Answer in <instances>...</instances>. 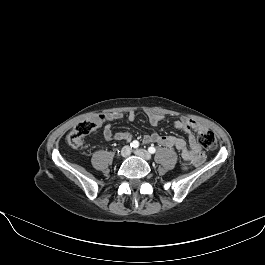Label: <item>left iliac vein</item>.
I'll list each match as a JSON object with an SVG mask.
<instances>
[{
    "mask_svg": "<svg viewBox=\"0 0 265 265\" xmlns=\"http://www.w3.org/2000/svg\"><path fill=\"white\" fill-rule=\"evenodd\" d=\"M134 153L145 160H151L152 158L151 154L144 149H137L134 151Z\"/></svg>",
    "mask_w": 265,
    "mask_h": 265,
    "instance_id": "obj_1",
    "label": "left iliac vein"
}]
</instances>
